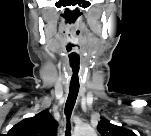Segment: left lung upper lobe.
<instances>
[{"label": "left lung upper lobe", "mask_w": 151, "mask_h": 136, "mask_svg": "<svg viewBox=\"0 0 151 136\" xmlns=\"http://www.w3.org/2000/svg\"><path fill=\"white\" fill-rule=\"evenodd\" d=\"M97 130L102 136H129L131 134V131L113 125L106 119L99 121Z\"/></svg>", "instance_id": "5c2ea615"}]
</instances>
